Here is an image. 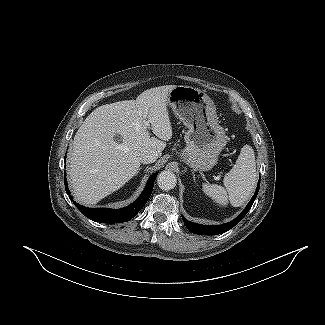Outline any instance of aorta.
I'll list each match as a JSON object with an SVG mask.
<instances>
[{
    "instance_id": "1",
    "label": "aorta",
    "mask_w": 325,
    "mask_h": 325,
    "mask_svg": "<svg viewBox=\"0 0 325 325\" xmlns=\"http://www.w3.org/2000/svg\"><path fill=\"white\" fill-rule=\"evenodd\" d=\"M176 183V175L169 170L160 172L157 177V184L159 188L165 191L173 189L176 186Z\"/></svg>"
}]
</instances>
